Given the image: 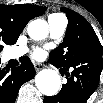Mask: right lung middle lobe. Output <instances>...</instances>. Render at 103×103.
Listing matches in <instances>:
<instances>
[{
  "label": "right lung middle lobe",
  "instance_id": "obj_1",
  "mask_svg": "<svg viewBox=\"0 0 103 103\" xmlns=\"http://www.w3.org/2000/svg\"><path fill=\"white\" fill-rule=\"evenodd\" d=\"M3 46L0 44V51L2 50Z\"/></svg>",
  "mask_w": 103,
  "mask_h": 103
}]
</instances>
